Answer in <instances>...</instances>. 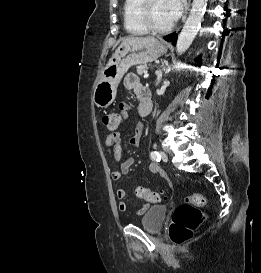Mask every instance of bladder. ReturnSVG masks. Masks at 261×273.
Listing matches in <instances>:
<instances>
[{
  "mask_svg": "<svg viewBox=\"0 0 261 273\" xmlns=\"http://www.w3.org/2000/svg\"><path fill=\"white\" fill-rule=\"evenodd\" d=\"M168 209L163 205L148 207L141 218L142 228L150 233L159 232L166 220Z\"/></svg>",
  "mask_w": 261,
  "mask_h": 273,
  "instance_id": "obj_1",
  "label": "bladder"
}]
</instances>
